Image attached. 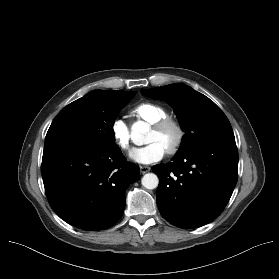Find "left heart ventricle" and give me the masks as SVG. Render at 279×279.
<instances>
[{
    "instance_id": "b2bd125f",
    "label": "left heart ventricle",
    "mask_w": 279,
    "mask_h": 279,
    "mask_svg": "<svg viewBox=\"0 0 279 279\" xmlns=\"http://www.w3.org/2000/svg\"><path fill=\"white\" fill-rule=\"evenodd\" d=\"M175 139V131L172 128H167L163 131L157 132L152 128L150 129L146 143L158 142L165 149H167Z\"/></svg>"
}]
</instances>
